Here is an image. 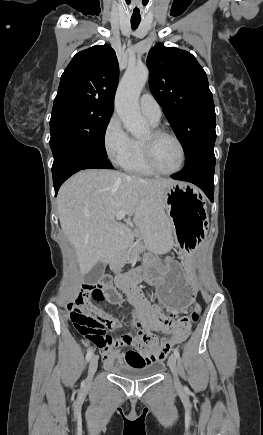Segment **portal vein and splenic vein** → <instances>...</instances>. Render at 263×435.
I'll return each mask as SVG.
<instances>
[{
	"label": "portal vein and splenic vein",
	"instance_id": "18ae733b",
	"mask_svg": "<svg viewBox=\"0 0 263 435\" xmlns=\"http://www.w3.org/2000/svg\"><path fill=\"white\" fill-rule=\"evenodd\" d=\"M126 214H127V212H125V211L118 212L116 214V219L117 220H123L124 219L129 226L133 227V223L131 222V220L125 218Z\"/></svg>",
	"mask_w": 263,
	"mask_h": 435
}]
</instances>
